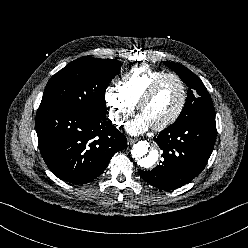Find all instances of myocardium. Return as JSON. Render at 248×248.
<instances>
[{
	"label": "myocardium",
	"instance_id": "obj_1",
	"mask_svg": "<svg viewBox=\"0 0 248 248\" xmlns=\"http://www.w3.org/2000/svg\"><path fill=\"white\" fill-rule=\"evenodd\" d=\"M168 77H172V78L176 79L180 85V88H181L180 104H179L178 108L175 110V112L172 115H170L168 118H166L165 120H163L162 122H160L158 124L151 125L152 129H154V130H162V129H165L166 127L170 126L171 124H173L182 114V112L185 108L186 102H187V88H186L185 82L183 81V79L179 75L169 72V73H163L162 75L158 76L156 79H154L152 81V83L149 85V87L144 92V94L142 95V97L140 98V100L137 104L138 110L141 112L142 108L154 96V94L157 91L161 82Z\"/></svg>",
	"mask_w": 248,
	"mask_h": 248
}]
</instances>
